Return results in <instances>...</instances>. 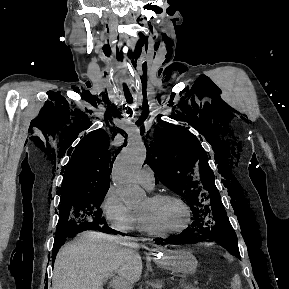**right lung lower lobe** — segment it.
Instances as JSON below:
<instances>
[{
	"instance_id": "1",
	"label": "right lung lower lobe",
	"mask_w": 289,
	"mask_h": 289,
	"mask_svg": "<svg viewBox=\"0 0 289 289\" xmlns=\"http://www.w3.org/2000/svg\"><path fill=\"white\" fill-rule=\"evenodd\" d=\"M92 230H99L101 232H104V233H115V234H118L117 231L109 228L108 226L103 225L101 227H96V228H90ZM86 230H89V229H86ZM84 230H79V231H75V232H72V233H68L66 236H55V242H54V247H53V263H54V260H55V256L62 244V242L67 238V237H70V236H74L76 235L77 233L79 232H82ZM120 234V233H119Z\"/></svg>"
}]
</instances>
